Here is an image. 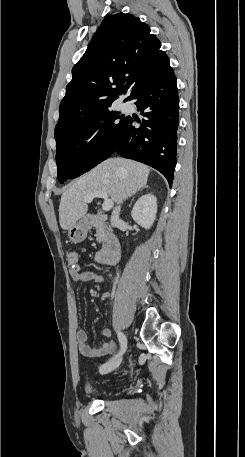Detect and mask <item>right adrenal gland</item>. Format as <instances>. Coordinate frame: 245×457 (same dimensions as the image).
I'll return each mask as SVG.
<instances>
[{
	"mask_svg": "<svg viewBox=\"0 0 245 457\" xmlns=\"http://www.w3.org/2000/svg\"><path fill=\"white\" fill-rule=\"evenodd\" d=\"M143 188H148V184H146V186H142L141 190H143Z\"/></svg>",
	"mask_w": 245,
	"mask_h": 457,
	"instance_id": "right-adrenal-gland-1",
	"label": "right adrenal gland"
}]
</instances>
